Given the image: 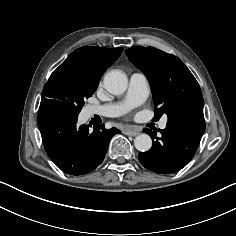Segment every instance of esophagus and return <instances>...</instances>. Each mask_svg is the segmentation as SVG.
<instances>
[{"instance_id": "obj_1", "label": "esophagus", "mask_w": 236, "mask_h": 236, "mask_svg": "<svg viewBox=\"0 0 236 236\" xmlns=\"http://www.w3.org/2000/svg\"><path fill=\"white\" fill-rule=\"evenodd\" d=\"M124 134L130 135V136H137L139 132L135 130H130V131H125Z\"/></svg>"}]
</instances>
